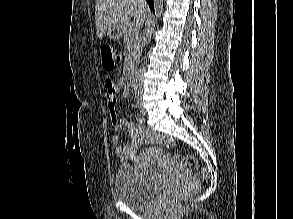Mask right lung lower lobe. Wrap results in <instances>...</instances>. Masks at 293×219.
I'll list each match as a JSON object with an SVG mask.
<instances>
[{"label": "right lung lower lobe", "instance_id": "98d812e1", "mask_svg": "<svg viewBox=\"0 0 293 219\" xmlns=\"http://www.w3.org/2000/svg\"><path fill=\"white\" fill-rule=\"evenodd\" d=\"M150 6V8L153 10V7H154V3H153V0H146Z\"/></svg>", "mask_w": 293, "mask_h": 219}]
</instances>
